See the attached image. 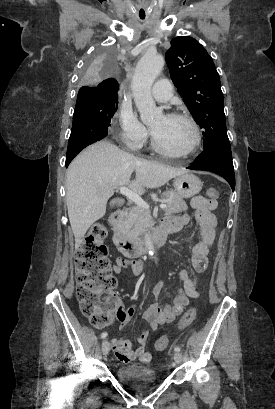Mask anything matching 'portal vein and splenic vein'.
I'll return each mask as SVG.
<instances>
[{"mask_svg":"<svg viewBox=\"0 0 275 409\" xmlns=\"http://www.w3.org/2000/svg\"><path fill=\"white\" fill-rule=\"evenodd\" d=\"M114 188H118V186H114ZM119 190L121 194H125V196H128L130 200H133L135 202V205H138V207H144V209H149V205H147V202L139 196V194H136V192H133V190H130V188H126V186H119ZM167 205H160V209H166Z\"/></svg>","mask_w":275,"mask_h":409,"instance_id":"obj_1","label":"portal vein and splenic vein"}]
</instances>
